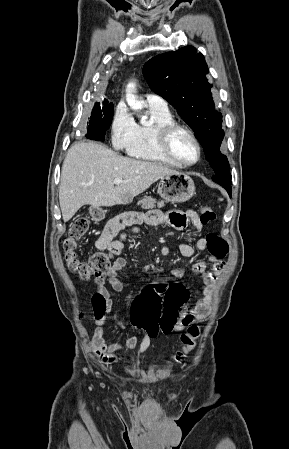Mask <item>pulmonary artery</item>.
<instances>
[{"mask_svg":"<svg viewBox=\"0 0 289 449\" xmlns=\"http://www.w3.org/2000/svg\"><path fill=\"white\" fill-rule=\"evenodd\" d=\"M145 101L148 106L155 107L159 109H165L167 107V102L160 96L155 94H147L145 97Z\"/></svg>","mask_w":289,"mask_h":449,"instance_id":"obj_1","label":"pulmonary artery"}]
</instances>
